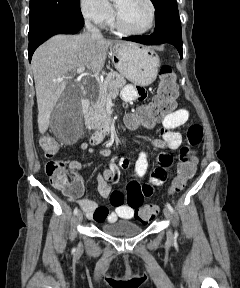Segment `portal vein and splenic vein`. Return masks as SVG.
Masks as SVG:
<instances>
[{
	"mask_svg": "<svg viewBox=\"0 0 240 288\" xmlns=\"http://www.w3.org/2000/svg\"><path fill=\"white\" fill-rule=\"evenodd\" d=\"M84 70H85V66H81V67H79V68L76 70V72H77L78 74H80V73H82ZM55 81L61 82V81H63V77H59V78H57Z\"/></svg>",
	"mask_w": 240,
	"mask_h": 288,
	"instance_id": "1",
	"label": "portal vein and splenic vein"
}]
</instances>
